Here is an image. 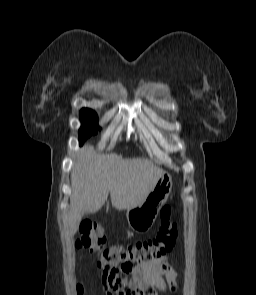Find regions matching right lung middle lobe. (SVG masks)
I'll list each match as a JSON object with an SVG mask.
<instances>
[{"instance_id": "dd1d6c3e", "label": "right lung middle lobe", "mask_w": 256, "mask_h": 295, "mask_svg": "<svg viewBox=\"0 0 256 295\" xmlns=\"http://www.w3.org/2000/svg\"><path fill=\"white\" fill-rule=\"evenodd\" d=\"M80 119L82 126L79 130V142L80 144H83L88 137L95 135L97 133V129L100 128L97 125V114L91 109L83 108L80 112Z\"/></svg>"}]
</instances>
